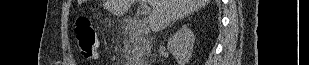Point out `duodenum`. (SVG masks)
Wrapping results in <instances>:
<instances>
[{"label": "duodenum", "instance_id": "obj_1", "mask_svg": "<svg viewBox=\"0 0 309 65\" xmlns=\"http://www.w3.org/2000/svg\"><path fill=\"white\" fill-rule=\"evenodd\" d=\"M126 32L131 36H142L144 35V27L138 20L128 18L125 20Z\"/></svg>", "mask_w": 309, "mask_h": 65}]
</instances>
